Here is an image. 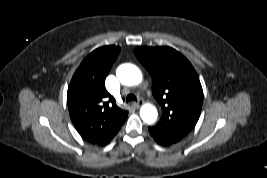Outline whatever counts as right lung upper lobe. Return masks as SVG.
Here are the masks:
<instances>
[{
    "instance_id": "obj_1",
    "label": "right lung upper lobe",
    "mask_w": 267,
    "mask_h": 178,
    "mask_svg": "<svg viewBox=\"0 0 267 178\" xmlns=\"http://www.w3.org/2000/svg\"><path fill=\"white\" fill-rule=\"evenodd\" d=\"M119 52L118 46H104L91 52L68 87L67 105L72 123L91 144L102 145L111 139L128 115L105 88V79Z\"/></svg>"
}]
</instances>
